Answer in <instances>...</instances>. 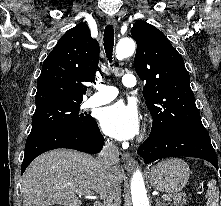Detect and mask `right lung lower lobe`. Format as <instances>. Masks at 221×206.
Returning <instances> with one entry per match:
<instances>
[{"instance_id":"1","label":"right lung lower lobe","mask_w":221,"mask_h":206,"mask_svg":"<svg viewBox=\"0 0 221 206\" xmlns=\"http://www.w3.org/2000/svg\"><path fill=\"white\" fill-rule=\"evenodd\" d=\"M104 138L96 121L85 127L50 128L31 132L26 140L21 174L38 155L57 148H70L90 154L101 151Z\"/></svg>"}]
</instances>
